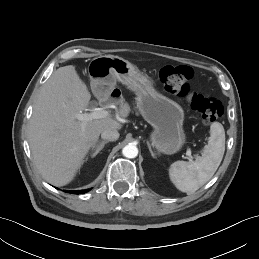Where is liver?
Returning a JSON list of instances; mask_svg holds the SVG:
<instances>
[{"instance_id": "6515ba94", "label": "liver", "mask_w": 259, "mask_h": 259, "mask_svg": "<svg viewBox=\"0 0 259 259\" xmlns=\"http://www.w3.org/2000/svg\"><path fill=\"white\" fill-rule=\"evenodd\" d=\"M91 94L75 66L58 68L42 86L33 107L28 139L36 168L52 185L70 183L89 150L106 129L122 128V121L107 116L83 122L76 118L89 105ZM125 119L126 104L118 112Z\"/></svg>"}]
</instances>
